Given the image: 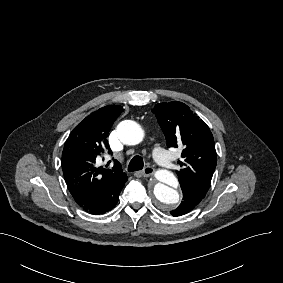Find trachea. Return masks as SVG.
Instances as JSON below:
<instances>
[{
	"label": "trachea",
	"mask_w": 283,
	"mask_h": 283,
	"mask_svg": "<svg viewBox=\"0 0 283 283\" xmlns=\"http://www.w3.org/2000/svg\"><path fill=\"white\" fill-rule=\"evenodd\" d=\"M144 167L143 158L139 155L134 156L128 165V172H134L137 170H142Z\"/></svg>",
	"instance_id": "trachea-1"
}]
</instances>
